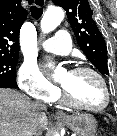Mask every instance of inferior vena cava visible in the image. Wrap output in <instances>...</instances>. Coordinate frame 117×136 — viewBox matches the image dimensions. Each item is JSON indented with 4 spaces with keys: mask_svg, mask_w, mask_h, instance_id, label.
Instances as JSON below:
<instances>
[{
    "mask_svg": "<svg viewBox=\"0 0 117 136\" xmlns=\"http://www.w3.org/2000/svg\"><path fill=\"white\" fill-rule=\"evenodd\" d=\"M34 105H35V107H36L37 109H39V110H41V111L47 109L46 105H45L44 103L40 102V101H36V102L34 103Z\"/></svg>",
    "mask_w": 117,
    "mask_h": 136,
    "instance_id": "1",
    "label": "inferior vena cava"
}]
</instances>
